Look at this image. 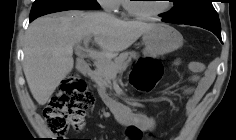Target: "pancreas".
Segmentation results:
<instances>
[{
    "instance_id": "obj_1",
    "label": "pancreas",
    "mask_w": 236,
    "mask_h": 140,
    "mask_svg": "<svg viewBox=\"0 0 236 140\" xmlns=\"http://www.w3.org/2000/svg\"><path fill=\"white\" fill-rule=\"evenodd\" d=\"M138 57L135 52H125L120 54L114 61L96 62L95 70L91 78L101 89L112 88L111 80L118 74L126 70L131 59Z\"/></svg>"
}]
</instances>
